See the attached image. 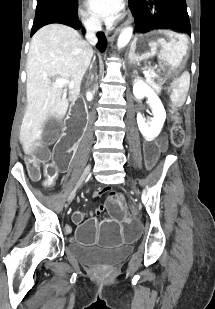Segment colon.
<instances>
[{
    "instance_id": "1",
    "label": "colon",
    "mask_w": 215,
    "mask_h": 309,
    "mask_svg": "<svg viewBox=\"0 0 215 309\" xmlns=\"http://www.w3.org/2000/svg\"><path fill=\"white\" fill-rule=\"evenodd\" d=\"M171 115H172V121H171V140L175 147L179 148L184 143V132H183V126L182 123L178 117L177 109L172 106L171 107ZM28 168L31 171V173H35L37 171V162L35 161H29ZM46 178L44 179L43 185L47 188H50L53 186L56 177H57V166L55 163L49 164L46 169ZM110 197L114 198V195L111 194Z\"/></svg>"
}]
</instances>
